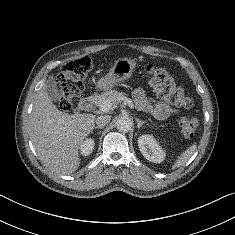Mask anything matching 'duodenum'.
<instances>
[{"label": "duodenum", "mask_w": 235, "mask_h": 235, "mask_svg": "<svg viewBox=\"0 0 235 235\" xmlns=\"http://www.w3.org/2000/svg\"><path fill=\"white\" fill-rule=\"evenodd\" d=\"M94 104L93 96H86L79 102L78 108L80 111H88Z\"/></svg>", "instance_id": "duodenum-1"}]
</instances>
